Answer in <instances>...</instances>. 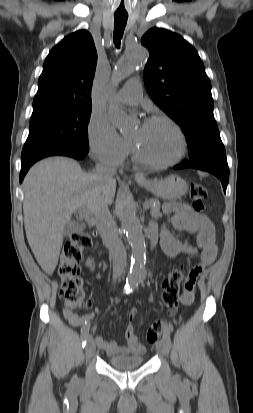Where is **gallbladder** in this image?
Segmentation results:
<instances>
[{
    "label": "gallbladder",
    "mask_w": 253,
    "mask_h": 413,
    "mask_svg": "<svg viewBox=\"0 0 253 413\" xmlns=\"http://www.w3.org/2000/svg\"><path fill=\"white\" fill-rule=\"evenodd\" d=\"M79 229H80V225L77 221H69L64 226L62 234H63L64 237H68V236L72 235L73 233L79 231Z\"/></svg>",
    "instance_id": "gallbladder-1"
}]
</instances>
